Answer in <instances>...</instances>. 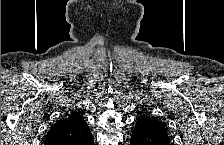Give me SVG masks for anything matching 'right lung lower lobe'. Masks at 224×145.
Wrapping results in <instances>:
<instances>
[{
  "label": "right lung lower lobe",
  "mask_w": 224,
  "mask_h": 145,
  "mask_svg": "<svg viewBox=\"0 0 224 145\" xmlns=\"http://www.w3.org/2000/svg\"><path fill=\"white\" fill-rule=\"evenodd\" d=\"M93 144H94V138L92 139V141H91L90 145H93Z\"/></svg>",
  "instance_id": "right-lung-lower-lobe-1"
}]
</instances>
